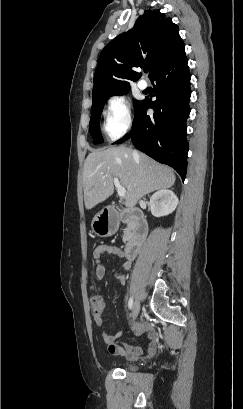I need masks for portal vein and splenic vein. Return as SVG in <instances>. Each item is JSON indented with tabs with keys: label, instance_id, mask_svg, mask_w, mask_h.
<instances>
[{
	"label": "portal vein and splenic vein",
	"instance_id": "18ae733b",
	"mask_svg": "<svg viewBox=\"0 0 243 409\" xmlns=\"http://www.w3.org/2000/svg\"><path fill=\"white\" fill-rule=\"evenodd\" d=\"M113 183L117 189L118 195L120 198H124L126 196V189L125 187H123L120 182L119 179L117 177H114L113 179Z\"/></svg>",
	"mask_w": 243,
	"mask_h": 409
}]
</instances>
